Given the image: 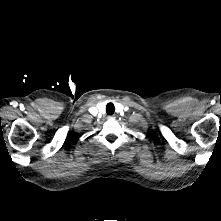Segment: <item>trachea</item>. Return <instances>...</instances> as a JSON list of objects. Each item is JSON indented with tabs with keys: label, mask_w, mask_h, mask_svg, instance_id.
<instances>
[{
	"label": "trachea",
	"mask_w": 221,
	"mask_h": 221,
	"mask_svg": "<svg viewBox=\"0 0 221 221\" xmlns=\"http://www.w3.org/2000/svg\"><path fill=\"white\" fill-rule=\"evenodd\" d=\"M115 111V107L112 103H108L106 106V112L108 115H112Z\"/></svg>",
	"instance_id": "obj_1"
}]
</instances>
